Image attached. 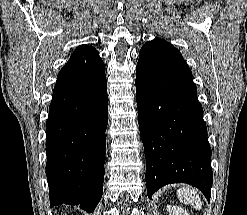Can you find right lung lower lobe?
I'll return each instance as SVG.
<instances>
[{"instance_id":"right-lung-lower-lobe-1","label":"right lung lower lobe","mask_w":247,"mask_h":215,"mask_svg":"<svg viewBox=\"0 0 247 215\" xmlns=\"http://www.w3.org/2000/svg\"><path fill=\"white\" fill-rule=\"evenodd\" d=\"M107 124L104 63L95 49L72 54L58 74L46 123L50 207L94 211L103 193Z\"/></svg>"}]
</instances>
